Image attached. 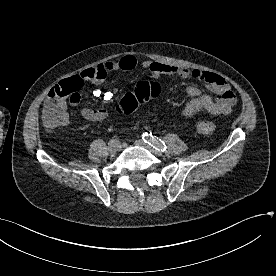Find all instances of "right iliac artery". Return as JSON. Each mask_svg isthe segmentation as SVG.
Returning <instances> with one entry per match:
<instances>
[{"label": "right iliac artery", "mask_w": 276, "mask_h": 276, "mask_svg": "<svg viewBox=\"0 0 276 276\" xmlns=\"http://www.w3.org/2000/svg\"><path fill=\"white\" fill-rule=\"evenodd\" d=\"M108 144L109 145H120V142L117 139H111Z\"/></svg>", "instance_id": "right-iliac-artery-1"}]
</instances>
